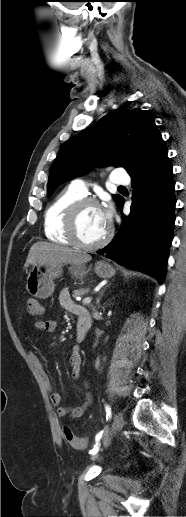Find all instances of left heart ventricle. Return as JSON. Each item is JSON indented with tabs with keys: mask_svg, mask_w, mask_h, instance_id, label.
I'll return each mask as SVG.
<instances>
[{
	"mask_svg": "<svg viewBox=\"0 0 186 517\" xmlns=\"http://www.w3.org/2000/svg\"><path fill=\"white\" fill-rule=\"evenodd\" d=\"M108 229L104 222L101 210L98 206H86L81 211L78 220L80 238L87 243H93L101 239Z\"/></svg>",
	"mask_w": 186,
	"mask_h": 517,
	"instance_id": "1",
	"label": "left heart ventricle"
}]
</instances>
